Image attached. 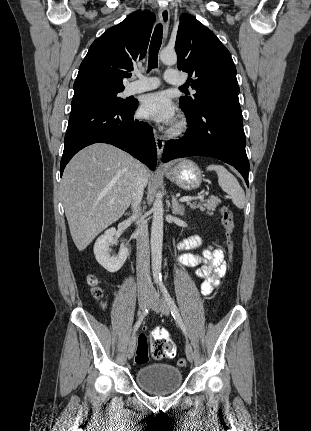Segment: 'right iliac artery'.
Returning <instances> with one entry per match:
<instances>
[{"instance_id":"82829eb1","label":"right iliac artery","mask_w":311,"mask_h":431,"mask_svg":"<svg viewBox=\"0 0 311 431\" xmlns=\"http://www.w3.org/2000/svg\"><path fill=\"white\" fill-rule=\"evenodd\" d=\"M148 312H149V308L145 306V307L142 309V312H141V314H140V316H139V318H138V320H137V322H136V324H135V326H134L133 334H135V332L138 330L139 326L141 325V323H142L143 319H144V318H145V316L148 314Z\"/></svg>"}]
</instances>
